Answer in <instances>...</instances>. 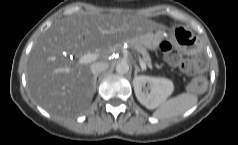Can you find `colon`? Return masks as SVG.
<instances>
[{
  "instance_id": "1",
  "label": "colon",
  "mask_w": 238,
  "mask_h": 145,
  "mask_svg": "<svg viewBox=\"0 0 238 145\" xmlns=\"http://www.w3.org/2000/svg\"><path fill=\"white\" fill-rule=\"evenodd\" d=\"M165 54L166 61L173 67L180 69L187 75L193 76L190 89L193 92H202L206 87V80L202 76L206 69V59L202 54L184 57L181 53L172 49L169 43L160 45Z\"/></svg>"
}]
</instances>
